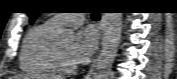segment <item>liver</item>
I'll return each mask as SVG.
<instances>
[{
  "label": "liver",
  "instance_id": "6515ba94",
  "mask_svg": "<svg viewBox=\"0 0 177 79\" xmlns=\"http://www.w3.org/2000/svg\"><path fill=\"white\" fill-rule=\"evenodd\" d=\"M13 79H60L55 76H26V75H17Z\"/></svg>",
  "mask_w": 177,
  "mask_h": 79
}]
</instances>
